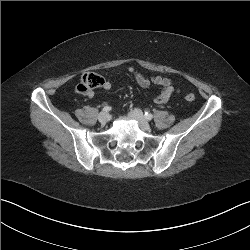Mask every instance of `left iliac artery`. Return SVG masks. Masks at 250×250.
Segmentation results:
<instances>
[{"instance_id":"obj_1","label":"left iliac artery","mask_w":250,"mask_h":250,"mask_svg":"<svg viewBox=\"0 0 250 250\" xmlns=\"http://www.w3.org/2000/svg\"><path fill=\"white\" fill-rule=\"evenodd\" d=\"M145 118L147 120H151L153 118V115L151 113H149V112H145Z\"/></svg>"}]
</instances>
